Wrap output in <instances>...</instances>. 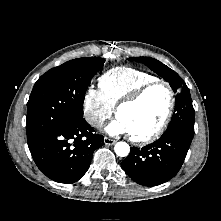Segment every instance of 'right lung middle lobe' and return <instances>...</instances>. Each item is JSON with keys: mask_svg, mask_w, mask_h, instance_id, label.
Instances as JSON below:
<instances>
[{"mask_svg": "<svg viewBox=\"0 0 221 221\" xmlns=\"http://www.w3.org/2000/svg\"><path fill=\"white\" fill-rule=\"evenodd\" d=\"M104 62L96 57L70 60L38 79L27 103L28 144L61 124L82 118L85 91Z\"/></svg>", "mask_w": 221, "mask_h": 221, "instance_id": "obj_1", "label": "right lung middle lobe"}]
</instances>
